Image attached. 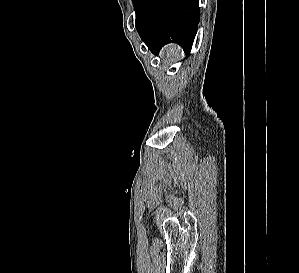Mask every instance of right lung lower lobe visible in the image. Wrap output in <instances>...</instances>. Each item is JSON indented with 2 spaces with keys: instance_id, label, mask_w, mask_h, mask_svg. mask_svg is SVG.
Listing matches in <instances>:
<instances>
[{
  "instance_id": "1",
  "label": "right lung lower lobe",
  "mask_w": 299,
  "mask_h": 273,
  "mask_svg": "<svg viewBox=\"0 0 299 273\" xmlns=\"http://www.w3.org/2000/svg\"><path fill=\"white\" fill-rule=\"evenodd\" d=\"M136 28L152 53L176 42L191 50L197 32L199 0H136Z\"/></svg>"
}]
</instances>
